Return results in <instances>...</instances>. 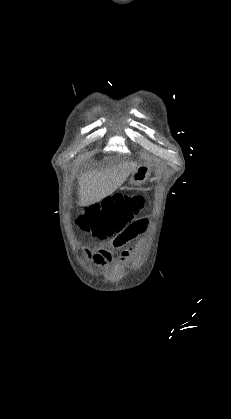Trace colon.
<instances>
[{"label":"colon","mask_w":231,"mask_h":419,"mask_svg":"<svg viewBox=\"0 0 231 419\" xmlns=\"http://www.w3.org/2000/svg\"><path fill=\"white\" fill-rule=\"evenodd\" d=\"M142 206L138 196L114 194L106 197L101 204L88 208L96 231L102 238L121 232Z\"/></svg>","instance_id":"colon-1"}]
</instances>
